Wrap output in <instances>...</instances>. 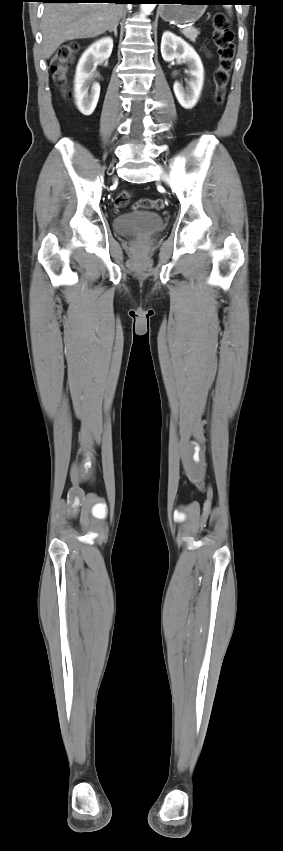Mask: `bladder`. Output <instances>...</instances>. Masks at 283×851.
I'll return each instance as SVG.
<instances>
[{
  "label": "bladder",
  "mask_w": 283,
  "mask_h": 851,
  "mask_svg": "<svg viewBox=\"0 0 283 851\" xmlns=\"http://www.w3.org/2000/svg\"><path fill=\"white\" fill-rule=\"evenodd\" d=\"M113 226L118 234L127 236L137 232H158L163 229L164 221L155 212L140 210L118 215Z\"/></svg>",
  "instance_id": "bladder-1"
}]
</instances>
